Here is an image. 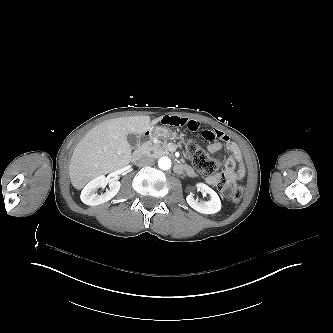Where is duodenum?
I'll use <instances>...</instances> for the list:
<instances>
[{
    "mask_svg": "<svg viewBox=\"0 0 333 333\" xmlns=\"http://www.w3.org/2000/svg\"><path fill=\"white\" fill-rule=\"evenodd\" d=\"M152 132L150 130H146L145 132H143L139 138V144H138V148L137 150L133 153L132 155V160L133 161H137L140 159V157L142 156L145 147L147 145V143L149 142L150 138H151ZM175 170L178 173H187L190 176L194 175V171L191 167L182 164V163H177L175 165Z\"/></svg>",
    "mask_w": 333,
    "mask_h": 333,
    "instance_id": "410a0bca",
    "label": "duodenum"
}]
</instances>
